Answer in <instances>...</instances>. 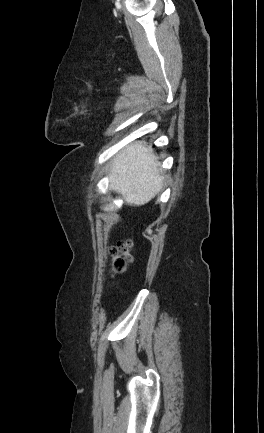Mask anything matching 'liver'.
I'll return each instance as SVG.
<instances>
[{"label":"liver","mask_w":264,"mask_h":433,"mask_svg":"<svg viewBox=\"0 0 264 433\" xmlns=\"http://www.w3.org/2000/svg\"><path fill=\"white\" fill-rule=\"evenodd\" d=\"M109 177L110 189L133 206L148 203L160 192L163 183L153 150L140 142L126 146L116 154Z\"/></svg>","instance_id":"liver-1"}]
</instances>
